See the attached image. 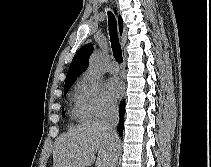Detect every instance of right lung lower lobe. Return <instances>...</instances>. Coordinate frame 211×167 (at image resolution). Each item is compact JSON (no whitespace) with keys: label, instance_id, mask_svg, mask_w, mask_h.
Wrapping results in <instances>:
<instances>
[{"label":"right lung lower lobe","instance_id":"obj_1","mask_svg":"<svg viewBox=\"0 0 211 167\" xmlns=\"http://www.w3.org/2000/svg\"><path fill=\"white\" fill-rule=\"evenodd\" d=\"M124 114H125V100L120 102L119 105V116H120V122L117 126V129L119 131V135L122 136V130H123V123H124Z\"/></svg>","mask_w":211,"mask_h":167}]
</instances>
